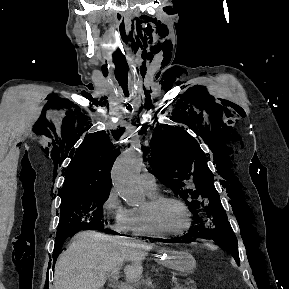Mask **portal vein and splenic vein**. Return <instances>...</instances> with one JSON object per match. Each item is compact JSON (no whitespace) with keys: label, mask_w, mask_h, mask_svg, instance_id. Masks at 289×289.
<instances>
[{"label":"portal vein and splenic vein","mask_w":289,"mask_h":289,"mask_svg":"<svg viewBox=\"0 0 289 289\" xmlns=\"http://www.w3.org/2000/svg\"><path fill=\"white\" fill-rule=\"evenodd\" d=\"M118 273H119V267H117L114 270H112L111 276H112L114 281L117 280ZM119 289H133V288L131 286H128V285H125V284H120L119 285ZM173 289H177V288H173Z\"/></svg>","instance_id":"portal-vein-and-splenic-vein-1"}]
</instances>
